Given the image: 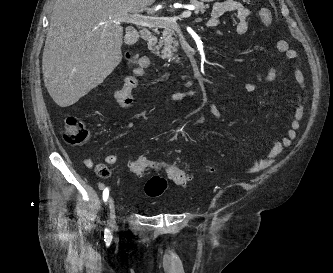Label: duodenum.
Instances as JSON below:
<instances>
[{
    "label": "duodenum",
    "instance_id": "obj_1",
    "mask_svg": "<svg viewBox=\"0 0 333 273\" xmlns=\"http://www.w3.org/2000/svg\"><path fill=\"white\" fill-rule=\"evenodd\" d=\"M140 37L142 40L148 42L149 44H154L156 42V38L153 35L152 31L149 29L140 30Z\"/></svg>",
    "mask_w": 333,
    "mask_h": 273
}]
</instances>
